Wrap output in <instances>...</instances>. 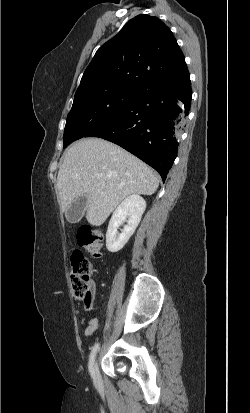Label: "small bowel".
<instances>
[{
	"label": "small bowel",
	"instance_id": "obj_1",
	"mask_svg": "<svg viewBox=\"0 0 250 413\" xmlns=\"http://www.w3.org/2000/svg\"><path fill=\"white\" fill-rule=\"evenodd\" d=\"M91 306H85L86 310H89ZM98 321L96 319H89L87 322L86 329L84 331V336H90L97 328Z\"/></svg>",
	"mask_w": 250,
	"mask_h": 413
}]
</instances>
